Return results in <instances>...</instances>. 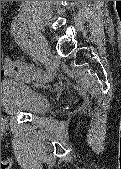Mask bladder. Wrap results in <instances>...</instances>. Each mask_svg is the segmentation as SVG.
<instances>
[{"label":"bladder","instance_id":"31cf9c89","mask_svg":"<svg viewBox=\"0 0 121 169\" xmlns=\"http://www.w3.org/2000/svg\"><path fill=\"white\" fill-rule=\"evenodd\" d=\"M1 107L9 114H42L50 107L49 99L42 92L16 80L1 81Z\"/></svg>","mask_w":121,"mask_h":169}]
</instances>
